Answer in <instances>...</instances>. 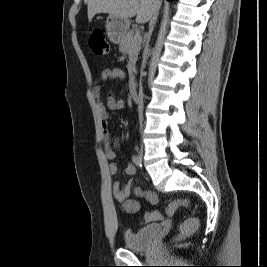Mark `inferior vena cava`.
<instances>
[{
  "mask_svg": "<svg viewBox=\"0 0 267 267\" xmlns=\"http://www.w3.org/2000/svg\"><path fill=\"white\" fill-rule=\"evenodd\" d=\"M160 3V1H155L154 0V3ZM158 11L159 10H156L152 16V18L150 19V22H149V34H148V41L152 35V32L154 30V26L156 24V21H157V17H158ZM138 111H139V116L141 117L142 116V111H143V91H142V85L140 84V92H139V98H138Z\"/></svg>",
  "mask_w": 267,
  "mask_h": 267,
  "instance_id": "1",
  "label": "inferior vena cava"
}]
</instances>
